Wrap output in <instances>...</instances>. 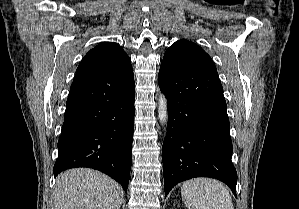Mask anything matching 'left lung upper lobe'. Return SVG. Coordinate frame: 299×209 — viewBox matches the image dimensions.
<instances>
[{
    "instance_id": "left-lung-upper-lobe-1",
    "label": "left lung upper lobe",
    "mask_w": 299,
    "mask_h": 209,
    "mask_svg": "<svg viewBox=\"0 0 299 209\" xmlns=\"http://www.w3.org/2000/svg\"><path fill=\"white\" fill-rule=\"evenodd\" d=\"M162 63L177 68L217 71L211 57L197 44L188 40H179L169 47Z\"/></svg>"
}]
</instances>
